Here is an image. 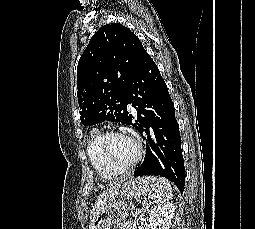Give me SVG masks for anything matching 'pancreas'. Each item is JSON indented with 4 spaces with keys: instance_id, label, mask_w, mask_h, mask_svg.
Here are the masks:
<instances>
[{
    "instance_id": "pancreas-1",
    "label": "pancreas",
    "mask_w": 255,
    "mask_h": 229,
    "mask_svg": "<svg viewBox=\"0 0 255 229\" xmlns=\"http://www.w3.org/2000/svg\"><path fill=\"white\" fill-rule=\"evenodd\" d=\"M139 220L135 219L127 223L119 224L118 229H136Z\"/></svg>"
}]
</instances>
